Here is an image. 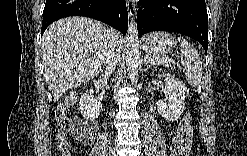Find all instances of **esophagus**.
Returning a JSON list of instances; mask_svg holds the SVG:
<instances>
[{"label": "esophagus", "instance_id": "1", "mask_svg": "<svg viewBox=\"0 0 247 156\" xmlns=\"http://www.w3.org/2000/svg\"><path fill=\"white\" fill-rule=\"evenodd\" d=\"M126 6H127L129 18L133 20L135 17V13H136V5H135L134 0H127Z\"/></svg>", "mask_w": 247, "mask_h": 156}]
</instances>
